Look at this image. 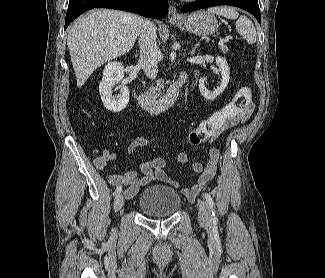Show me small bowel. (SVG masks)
<instances>
[{"instance_id":"1","label":"small bowel","mask_w":325,"mask_h":278,"mask_svg":"<svg viewBox=\"0 0 325 278\" xmlns=\"http://www.w3.org/2000/svg\"><path fill=\"white\" fill-rule=\"evenodd\" d=\"M252 109L253 108L251 105L250 108L240 113L239 116H237L229 123H233L236 121L245 122L250 117ZM218 132H216L211 138H213ZM190 134L191 132L187 136V139L189 138ZM147 145L148 141L144 138L134 139L128 147V153L131 154L138 147ZM115 157L116 154L114 152L105 149L103 150L102 154L94 160V163L97 168L104 169L110 161L115 159ZM219 158L220 149L217 146H212L209 151V159L206 163L203 164L196 162L192 165L193 171L198 174L196 183L190 188L182 189V192L190 197L196 196L214 176L218 166ZM178 161L182 164H187L190 162V157L186 153H180L178 155ZM165 164L166 160L164 158H154L152 160L144 162L141 165L142 176H138L134 171L126 170L120 174L109 175L108 181L112 185H126V189L124 191V196L126 199L133 198L138 193L141 187L146 186L154 181H163L177 186L178 184L172 181L163 172V167L165 166Z\"/></svg>"}]
</instances>
